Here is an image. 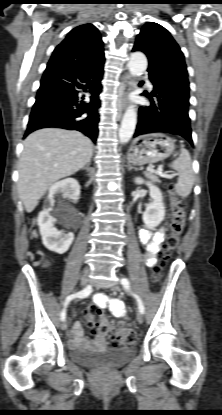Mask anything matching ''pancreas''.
I'll return each instance as SVG.
<instances>
[{"label": "pancreas", "mask_w": 222, "mask_h": 415, "mask_svg": "<svg viewBox=\"0 0 222 415\" xmlns=\"http://www.w3.org/2000/svg\"><path fill=\"white\" fill-rule=\"evenodd\" d=\"M145 176L153 182H159L158 176L154 173H145Z\"/></svg>", "instance_id": "obj_1"}]
</instances>
